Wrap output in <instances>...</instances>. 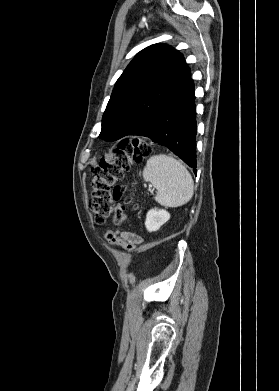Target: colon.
Here are the masks:
<instances>
[{
    "label": "colon",
    "instance_id": "obj_1",
    "mask_svg": "<svg viewBox=\"0 0 279 391\" xmlns=\"http://www.w3.org/2000/svg\"><path fill=\"white\" fill-rule=\"evenodd\" d=\"M150 150L149 144L139 138L125 139L117 145L110 159H102L92 168L90 209L97 223H103L111 217L117 225L124 222V207L117 202L125 197L126 190L118 183L135 164L148 157ZM105 238L110 243L118 244L129 251L136 248L134 243L112 231H107Z\"/></svg>",
    "mask_w": 279,
    "mask_h": 391
}]
</instances>
